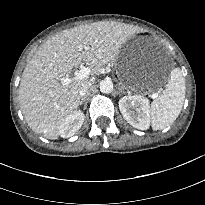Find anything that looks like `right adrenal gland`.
I'll use <instances>...</instances> for the list:
<instances>
[{"label": "right adrenal gland", "instance_id": "2a0ac1e0", "mask_svg": "<svg viewBox=\"0 0 205 205\" xmlns=\"http://www.w3.org/2000/svg\"><path fill=\"white\" fill-rule=\"evenodd\" d=\"M85 102V98H81L79 105H82Z\"/></svg>", "mask_w": 205, "mask_h": 205}]
</instances>
